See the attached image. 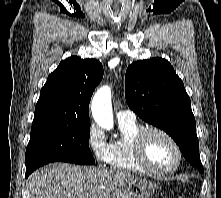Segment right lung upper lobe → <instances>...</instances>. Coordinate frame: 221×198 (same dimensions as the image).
I'll return each instance as SVG.
<instances>
[{
	"mask_svg": "<svg viewBox=\"0 0 221 198\" xmlns=\"http://www.w3.org/2000/svg\"><path fill=\"white\" fill-rule=\"evenodd\" d=\"M103 78V66L96 59L69 57L60 62L40 92L33 125L90 124L89 102Z\"/></svg>",
	"mask_w": 221,
	"mask_h": 198,
	"instance_id": "obj_1",
	"label": "right lung upper lobe"
}]
</instances>
